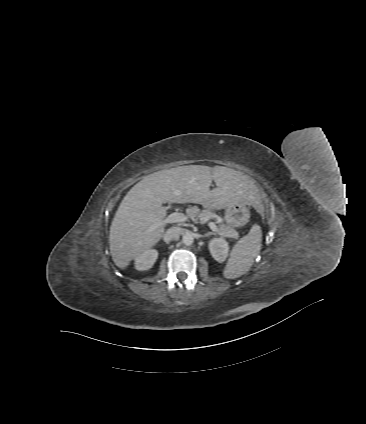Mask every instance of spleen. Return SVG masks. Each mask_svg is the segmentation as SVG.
Masks as SVG:
<instances>
[{"instance_id":"1","label":"spleen","mask_w":366,"mask_h":424,"mask_svg":"<svg viewBox=\"0 0 366 424\" xmlns=\"http://www.w3.org/2000/svg\"><path fill=\"white\" fill-rule=\"evenodd\" d=\"M262 230L254 224L249 233L241 238L232 248L223 275L227 279H235L251 268L255 258L260 253Z\"/></svg>"}]
</instances>
